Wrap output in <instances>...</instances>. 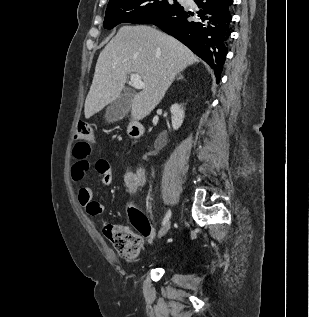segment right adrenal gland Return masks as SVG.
Wrapping results in <instances>:
<instances>
[{
  "label": "right adrenal gland",
  "mask_w": 309,
  "mask_h": 317,
  "mask_svg": "<svg viewBox=\"0 0 309 317\" xmlns=\"http://www.w3.org/2000/svg\"><path fill=\"white\" fill-rule=\"evenodd\" d=\"M183 76L181 74H179V76L177 77V79H182Z\"/></svg>",
  "instance_id": "1"
}]
</instances>
